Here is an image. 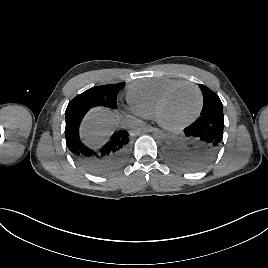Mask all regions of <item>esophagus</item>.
<instances>
[{
  "instance_id": "34e87169",
  "label": "esophagus",
  "mask_w": 268,
  "mask_h": 268,
  "mask_svg": "<svg viewBox=\"0 0 268 268\" xmlns=\"http://www.w3.org/2000/svg\"><path fill=\"white\" fill-rule=\"evenodd\" d=\"M145 132H158L159 130L155 127L148 126L143 129Z\"/></svg>"
}]
</instances>
